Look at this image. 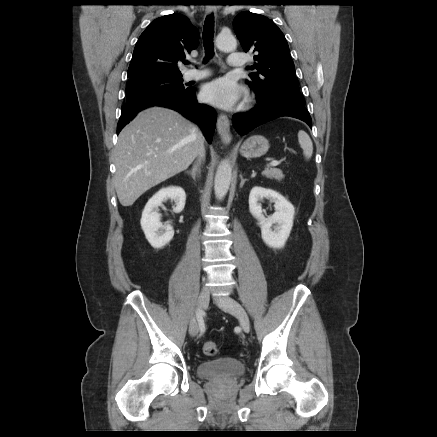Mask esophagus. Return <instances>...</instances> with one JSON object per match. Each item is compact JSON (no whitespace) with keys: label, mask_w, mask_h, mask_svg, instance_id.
<instances>
[{"label":"esophagus","mask_w":437,"mask_h":437,"mask_svg":"<svg viewBox=\"0 0 437 437\" xmlns=\"http://www.w3.org/2000/svg\"><path fill=\"white\" fill-rule=\"evenodd\" d=\"M216 8L213 6H208L206 8V13L208 15L215 13ZM217 131L223 143H230L232 136L230 132V121L225 114H220L217 119Z\"/></svg>","instance_id":"1"}]
</instances>
